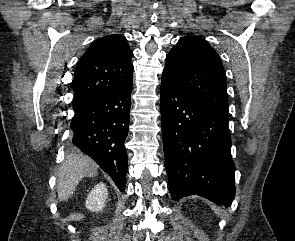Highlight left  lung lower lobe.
I'll use <instances>...</instances> for the list:
<instances>
[{"label": "left lung lower lobe", "instance_id": "obj_1", "mask_svg": "<svg viewBox=\"0 0 295 241\" xmlns=\"http://www.w3.org/2000/svg\"><path fill=\"white\" fill-rule=\"evenodd\" d=\"M160 108L172 198L200 195L230 206L235 197V165L229 114L190 96L164 75Z\"/></svg>", "mask_w": 295, "mask_h": 241}]
</instances>
